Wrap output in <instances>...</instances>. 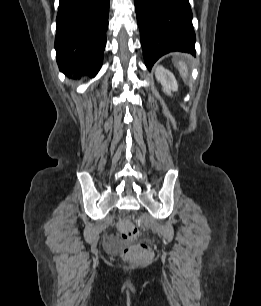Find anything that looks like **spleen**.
<instances>
[{
  "label": "spleen",
  "instance_id": "3e777b00",
  "mask_svg": "<svg viewBox=\"0 0 261 306\" xmlns=\"http://www.w3.org/2000/svg\"><path fill=\"white\" fill-rule=\"evenodd\" d=\"M178 69H179V72H180V75L182 76V78L186 79L188 71H187L186 63L184 61L181 60V61L178 62Z\"/></svg>",
  "mask_w": 261,
  "mask_h": 306
}]
</instances>
